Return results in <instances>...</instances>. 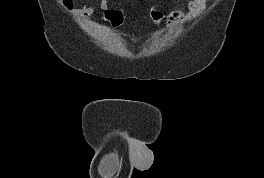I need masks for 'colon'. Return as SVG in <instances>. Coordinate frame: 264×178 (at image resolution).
I'll return each mask as SVG.
<instances>
[{"label": "colon", "instance_id": "obj_1", "mask_svg": "<svg viewBox=\"0 0 264 178\" xmlns=\"http://www.w3.org/2000/svg\"><path fill=\"white\" fill-rule=\"evenodd\" d=\"M66 6L72 5V0H61ZM105 22L113 28H118L124 24L126 15L121 9L110 7L104 13ZM165 18V13L158 7H153L148 15V21L151 25H159Z\"/></svg>", "mask_w": 264, "mask_h": 178}]
</instances>
